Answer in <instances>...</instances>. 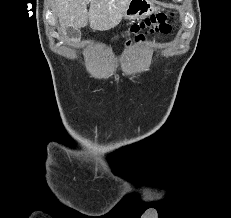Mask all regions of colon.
I'll list each match as a JSON object with an SVG mask.
<instances>
[{"mask_svg":"<svg viewBox=\"0 0 231 218\" xmlns=\"http://www.w3.org/2000/svg\"><path fill=\"white\" fill-rule=\"evenodd\" d=\"M172 14L158 13L151 15L145 20L133 24L124 34L127 43L131 40L136 42L142 41L150 34H167L171 31L169 18Z\"/></svg>","mask_w":231,"mask_h":218,"instance_id":"5ec220e1","label":"colon"}]
</instances>
